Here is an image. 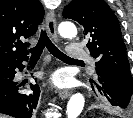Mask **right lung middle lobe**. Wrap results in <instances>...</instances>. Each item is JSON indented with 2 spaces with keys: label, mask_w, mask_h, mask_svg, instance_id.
Segmentation results:
<instances>
[{
  "label": "right lung middle lobe",
  "mask_w": 133,
  "mask_h": 118,
  "mask_svg": "<svg viewBox=\"0 0 133 118\" xmlns=\"http://www.w3.org/2000/svg\"><path fill=\"white\" fill-rule=\"evenodd\" d=\"M7 73V67H0V78L4 77Z\"/></svg>",
  "instance_id": "1"
}]
</instances>
